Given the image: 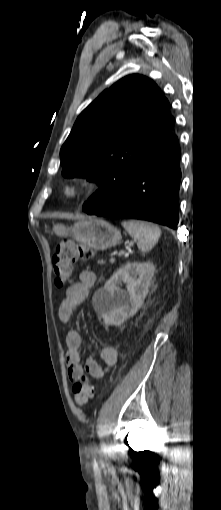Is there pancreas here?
Returning <instances> with one entry per match:
<instances>
[{"label": "pancreas", "instance_id": "1", "mask_svg": "<svg viewBox=\"0 0 221 510\" xmlns=\"http://www.w3.org/2000/svg\"><path fill=\"white\" fill-rule=\"evenodd\" d=\"M98 264H104V261L103 260H99Z\"/></svg>", "mask_w": 221, "mask_h": 510}]
</instances>
